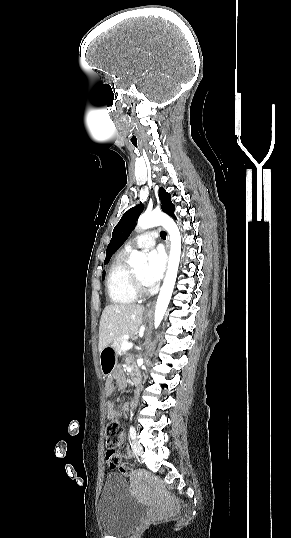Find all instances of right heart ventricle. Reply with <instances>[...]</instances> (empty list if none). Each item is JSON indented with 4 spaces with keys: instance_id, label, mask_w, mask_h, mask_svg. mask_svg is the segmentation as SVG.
<instances>
[{
    "instance_id": "right-heart-ventricle-1",
    "label": "right heart ventricle",
    "mask_w": 291,
    "mask_h": 538,
    "mask_svg": "<svg viewBox=\"0 0 291 538\" xmlns=\"http://www.w3.org/2000/svg\"><path fill=\"white\" fill-rule=\"evenodd\" d=\"M130 254L131 251L126 248L119 251L109 268L106 286L110 301L114 304H131L137 299L131 288V269L127 264Z\"/></svg>"
}]
</instances>
